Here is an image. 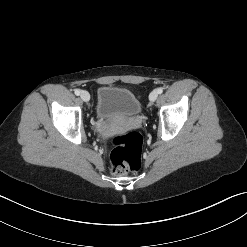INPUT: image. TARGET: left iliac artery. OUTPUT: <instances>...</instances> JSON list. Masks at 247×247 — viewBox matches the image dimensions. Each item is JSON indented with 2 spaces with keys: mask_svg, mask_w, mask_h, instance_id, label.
<instances>
[{
  "mask_svg": "<svg viewBox=\"0 0 247 247\" xmlns=\"http://www.w3.org/2000/svg\"><path fill=\"white\" fill-rule=\"evenodd\" d=\"M156 91H157L158 94H161V93L163 92V88L160 87V88H158Z\"/></svg>",
  "mask_w": 247,
  "mask_h": 247,
  "instance_id": "1",
  "label": "left iliac artery"
}]
</instances>
